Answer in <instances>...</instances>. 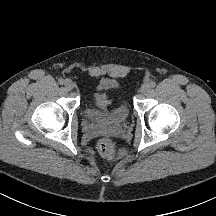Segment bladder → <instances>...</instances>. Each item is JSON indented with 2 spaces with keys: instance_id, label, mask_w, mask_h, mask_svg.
I'll use <instances>...</instances> for the list:
<instances>
[{
  "instance_id": "bladder-1",
  "label": "bladder",
  "mask_w": 216,
  "mask_h": 216,
  "mask_svg": "<svg viewBox=\"0 0 216 216\" xmlns=\"http://www.w3.org/2000/svg\"><path fill=\"white\" fill-rule=\"evenodd\" d=\"M116 84L112 81L101 80L97 84L98 90H112ZM85 116L88 120L105 126H122L128 119L129 108L125 101L118 103L111 109L105 112L95 110L91 103L88 102L85 106Z\"/></svg>"
}]
</instances>
